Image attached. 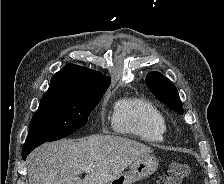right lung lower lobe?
<instances>
[{
	"mask_svg": "<svg viewBox=\"0 0 224 184\" xmlns=\"http://www.w3.org/2000/svg\"><path fill=\"white\" fill-rule=\"evenodd\" d=\"M34 148H23L22 151V158L23 160H26V157L29 155V153L33 150Z\"/></svg>",
	"mask_w": 224,
	"mask_h": 184,
	"instance_id": "right-lung-lower-lobe-1",
	"label": "right lung lower lobe"
}]
</instances>
